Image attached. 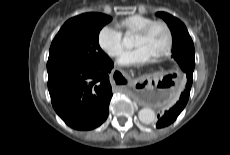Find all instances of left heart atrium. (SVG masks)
I'll return each instance as SVG.
<instances>
[{"mask_svg":"<svg viewBox=\"0 0 230 155\" xmlns=\"http://www.w3.org/2000/svg\"><path fill=\"white\" fill-rule=\"evenodd\" d=\"M154 56L145 47H139L131 51L124 52L118 59V64L122 66L141 65L149 62Z\"/></svg>","mask_w":230,"mask_h":155,"instance_id":"1","label":"left heart atrium"}]
</instances>
